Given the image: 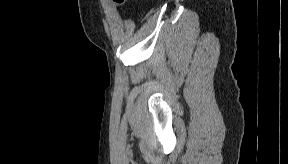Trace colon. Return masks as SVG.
Wrapping results in <instances>:
<instances>
[{
    "instance_id": "5ec220e1",
    "label": "colon",
    "mask_w": 288,
    "mask_h": 164,
    "mask_svg": "<svg viewBox=\"0 0 288 164\" xmlns=\"http://www.w3.org/2000/svg\"><path fill=\"white\" fill-rule=\"evenodd\" d=\"M122 2H123V1L120 0V1H117L116 4L119 5V4H121Z\"/></svg>"
}]
</instances>
